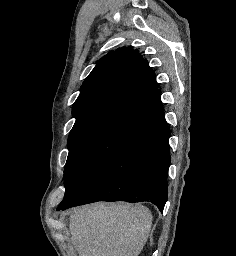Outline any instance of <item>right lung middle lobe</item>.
I'll list each match as a JSON object with an SVG mask.
<instances>
[{
    "label": "right lung middle lobe",
    "mask_w": 236,
    "mask_h": 256,
    "mask_svg": "<svg viewBox=\"0 0 236 256\" xmlns=\"http://www.w3.org/2000/svg\"><path fill=\"white\" fill-rule=\"evenodd\" d=\"M152 124L125 114H109L73 126L64 169L65 196H73L90 175Z\"/></svg>",
    "instance_id": "1"
}]
</instances>
